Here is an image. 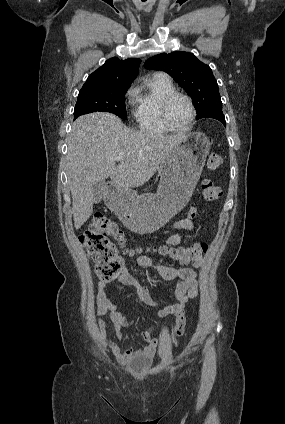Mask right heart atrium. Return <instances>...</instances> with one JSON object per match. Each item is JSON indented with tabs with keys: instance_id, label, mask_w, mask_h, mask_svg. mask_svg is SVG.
Segmentation results:
<instances>
[{
	"instance_id": "obj_1",
	"label": "right heart atrium",
	"mask_w": 285,
	"mask_h": 424,
	"mask_svg": "<svg viewBox=\"0 0 285 424\" xmlns=\"http://www.w3.org/2000/svg\"><path fill=\"white\" fill-rule=\"evenodd\" d=\"M128 95H130V96L134 95V90H133V89H130V90L128 91Z\"/></svg>"
}]
</instances>
